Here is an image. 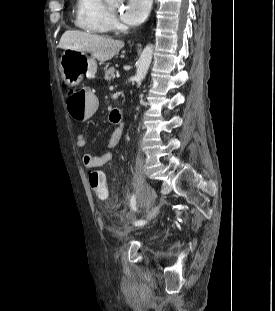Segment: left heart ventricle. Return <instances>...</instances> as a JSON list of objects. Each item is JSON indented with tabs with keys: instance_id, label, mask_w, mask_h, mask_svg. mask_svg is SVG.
<instances>
[{
	"instance_id": "left-heart-ventricle-1",
	"label": "left heart ventricle",
	"mask_w": 275,
	"mask_h": 311,
	"mask_svg": "<svg viewBox=\"0 0 275 311\" xmlns=\"http://www.w3.org/2000/svg\"><path fill=\"white\" fill-rule=\"evenodd\" d=\"M110 9H111L112 12H116V11L119 10V7H111Z\"/></svg>"
}]
</instances>
